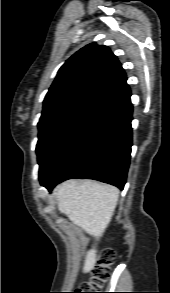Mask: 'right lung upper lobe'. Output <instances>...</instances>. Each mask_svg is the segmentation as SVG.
<instances>
[{
  "label": "right lung upper lobe",
  "mask_w": 170,
  "mask_h": 293,
  "mask_svg": "<svg viewBox=\"0 0 170 293\" xmlns=\"http://www.w3.org/2000/svg\"><path fill=\"white\" fill-rule=\"evenodd\" d=\"M126 80L121 64L108 47L89 44L58 71L45 97L40 121L77 105L111 108L130 97Z\"/></svg>",
  "instance_id": "obj_1"
}]
</instances>
